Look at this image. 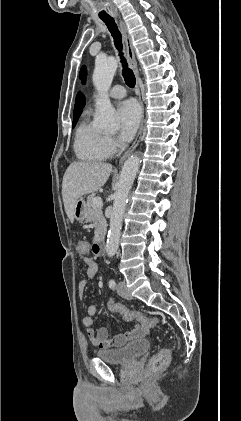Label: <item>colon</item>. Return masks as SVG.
<instances>
[{
    "label": "colon",
    "mask_w": 241,
    "mask_h": 421,
    "mask_svg": "<svg viewBox=\"0 0 241 421\" xmlns=\"http://www.w3.org/2000/svg\"><path fill=\"white\" fill-rule=\"evenodd\" d=\"M76 251L79 255L85 256L90 252V244L85 240H79L76 243ZM107 307L109 311L120 314L124 320L137 321L148 327L155 326L159 323L157 317H148L141 312L133 311L124 305L116 302L114 299H109ZM170 360V350L166 347L161 348L150 360V373H157L163 370Z\"/></svg>",
    "instance_id": "colon-1"
}]
</instances>
